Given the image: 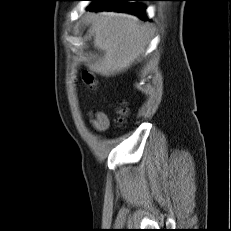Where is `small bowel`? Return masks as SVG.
Returning a JSON list of instances; mask_svg holds the SVG:
<instances>
[{"label": "small bowel", "mask_w": 231, "mask_h": 231, "mask_svg": "<svg viewBox=\"0 0 231 231\" xmlns=\"http://www.w3.org/2000/svg\"><path fill=\"white\" fill-rule=\"evenodd\" d=\"M91 124L97 131H105L109 126V120L103 112H97L91 118Z\"/></svg>", "instance_id": "c3829d8e"}]
</instances>
